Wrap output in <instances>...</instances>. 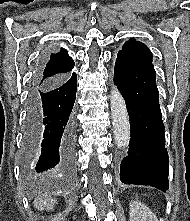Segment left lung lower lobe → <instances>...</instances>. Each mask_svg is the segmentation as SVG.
Masks as SVG:
<instances>
[{"label": "left lung lower lobe", "instance_id": "1", "mask_svg": "<svg viewBox=\"0 0 190 221\" xmlns=\"http://www.w3.org/2000/svg\"><path fill=\"white\" fill-rule=\"evenodd\" d=\"M152 63L117 55L114 83L130 117L131 138L120 165L124 184L146 185L163 192L169 188V158Z\"/></svg>", "mask_w": 190, "mask_h": 221}]
</instances>
